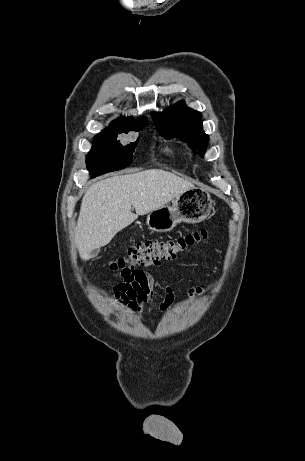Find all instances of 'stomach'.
<instances>
[{"label":"stomach","mask_w":305,"mask_h":461,"mask_svg":"<svg viewBox=\"0 0 305 461\" xmlns=\"http://www.w3.org/2000/svg\"><path fill=\"white\" fill-rule=\"evenodd\" d=\"M212 202L208 192L194 187L178 195L172 206L149 212L146 223L155 232H169L180 222L199 223L209 216Z\"/></svg>","instance_id":"obj_1"}]
</instances>
